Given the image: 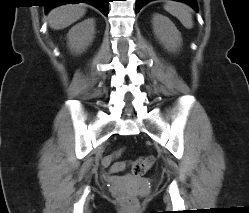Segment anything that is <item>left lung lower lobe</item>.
<instances>
[{"label":"left lung lower lobe","mask_w":249,"mask_h":213,"mask_svg":"<svg viewBox=\"0 0 249 213\" xmlns=\"http://www.w3.org/2000/svg\"><path fill=\"white\" fill-rule=\"evenodd\" d=\"M152 0H136V12H139V10L148 2ZM180 2H185L189 5H191L195 10H197V4L196 0H176Z\"/></svg>","instance_id":"0a47b994"}]
</instances>
